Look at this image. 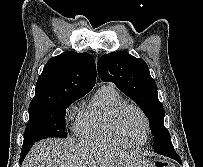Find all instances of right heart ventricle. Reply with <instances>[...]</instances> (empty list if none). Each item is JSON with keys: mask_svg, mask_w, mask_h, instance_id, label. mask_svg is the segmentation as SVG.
<instances>
[{"mask_svg": "<svg viewBox=\"0 0 203 167\" xmlns=\"http://www.w3.org/2000/svg\"><path fill=\"white\" fill-rule=\"evenodd\" d=\"M126 103L110 84L101 86L81 110L75 123V134L82 141L112 146H127L113 133L110 122L117 108Z\"/></svg>", "mask_w": 203, "mask_h": 167, "instance_id": "e07e8e85", "label": "right heart ventricle"}]
</instances>
